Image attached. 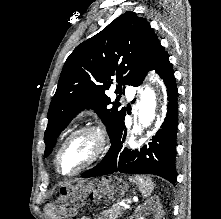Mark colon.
<instances>
[{"label":"colon","instance_id":"obj_1","mask_svg":"<svg viewBox=\"0 0 221 219\" xmlns=\"http://www.w3.org/2000/svg\"><path fill=\"white\" fill-rule=\"evenodd\" d=\"M76 206L77 204H73V201L70 199H65L62 202V209L68 214H72ZM71 219H75V217H71Z\"/></svg>","mask_w":221,"mask_h":219}]
</instances>
